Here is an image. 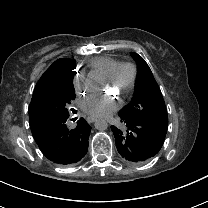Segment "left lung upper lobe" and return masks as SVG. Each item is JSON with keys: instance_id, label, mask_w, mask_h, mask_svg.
<instances>
[{"instance_id": "5c2ea615", "label": "left lung upper lobe", "mask_w": 208, "mask_h": 208, "mask_svg": "<svg viewBox=\"0 0 208 208\" xmlns=\"http://www.w3.org/2000/svg\"><path fill=\"white\" fill-rule=\"evenodd\" d=\"M140 69V76L132 102L120 112L131 117H139L154 122L167 129L168 116L160 88L145 60L131 53Z\"/></svg>"}]
</instances>
